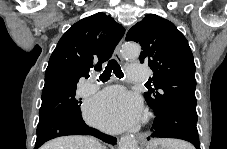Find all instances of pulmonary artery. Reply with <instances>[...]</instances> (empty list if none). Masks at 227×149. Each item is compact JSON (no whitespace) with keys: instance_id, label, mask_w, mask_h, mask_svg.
Returning a JSON list of instances; mask_svg holds the SVG:
<instances>
[{"instance_id":"obj_1","label":"pulmonary artery","mask_w":227,"mask_h":149,"mask_svg":"<svg viewBox=\"0 0 227 149\" xmlns=\"http://www.w3.org/2000/svg\"><path fill=\"white\" fill-rule=\"evenodd\" d=\"M129 78L134 82H145L149 78V69L141 64H130L128 66ZM94 78H92V83H90L86 89V93H90L96 89V84L94 83Z\"/></svg>"}]
</instances>
